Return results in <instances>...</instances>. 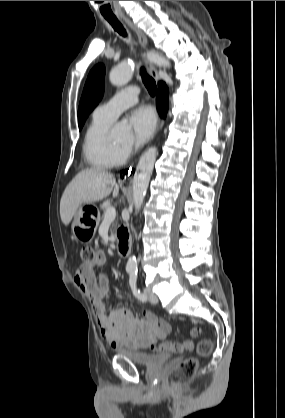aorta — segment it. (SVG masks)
Listing matches in <instances>:
<instances>
[{
  "label": "aorta",
  "mask_w": 285,
  "mask_h": 418,
  "mask_svg": "<svg viewBox=\"0 0 285 418\" xmlns=\"http://www.w3.org/2000/svg\"><path fill=\"white\" fill-rule=\"evenodd\" d=\"M147 58L161 67H169L170 62L157 52H148ZM134 72V64L132 61H123L116 67H114L109 74L110 82L115 86H123L127 84L132 78ZM130 130L128 127L117 125L112 131V135L115 139L122 140L129 135ZM157 148H148L141 156L136 172L133 178V203L135 206V215L138 214L149 185L150 177L154 169V163L156 161ZM126 269L131 272L137 271V260L135 256H131L126 265Z\"/></svg>",
  "instance_id": "1"
}]
</instances>
